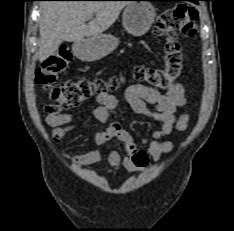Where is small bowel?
Masks as SVG:
<instances>
[{
  "mask_svg": "<svg viewBox=\"0 0 234 231\" xmlns=\"http://www.w3.org/2000/svg\"><path fill=\"white\" fill-rule=\"evenodd\" d=\"M125 99L136 114L151 118L160 124V128L154 130L148 138L142 139L149 155L153 160H158L163 154L173 149V143L162 140L169 135L174 127L178 131H185L188 127V115H181L177 118L176 113L179 107L186 103L185 90L181 83H175L166 94L141 85L133 84L127 87ZM97 106L93 111L94 117L106 127L97 132L94 136L98 146H105L113 140L124 144L126 153L120 154L117 150L111 149L106 154V160L112 167L109 173L119 170L124 166L127 170H135L131 160L129 149L133 143L132 135L122 128L119 120L118 100L114 95L102 93L96 97ZM147 104H152L150 109ZM45 123L52 129V139L59 144L64 137L76 126L72 123L73 116L61 113L54 105L45 107ZM71 162L78 165H93L101 162L104 154L100 149H94L85 153L66 156Z\"/></svg>",
  "mask_w": 234,
  "mask_h": 231,
  "instance_id": "1",
  "label": "small bowel"
}]
</instances>
